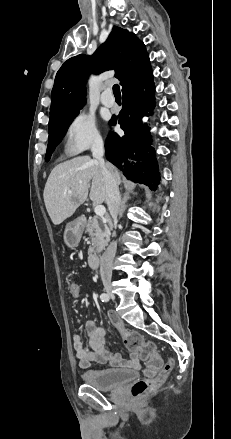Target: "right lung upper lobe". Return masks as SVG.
I'll return each instance as SVG.
<instances>
[{"mask_svg": "<svg viewBox=\"0 0 231 439\" xmlns=\"http://www.w3.org/2000/svg\"><path fill=\"white\" fill-rule=\"evenodd\" d=\"M112 69L123 93L152 73L143 42L117 26L92 56L72 57L58 70L51 93L49 127L79 114L86 102L85 82L90 73Z\"/></svg>", "mask_w": 231, "mask_h": 439, "instance_id": "1", "label": "right lung upper lobe"}]
</instances>
